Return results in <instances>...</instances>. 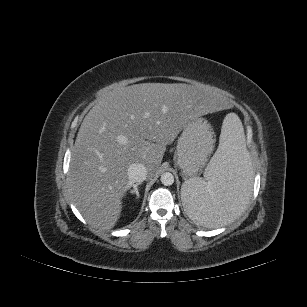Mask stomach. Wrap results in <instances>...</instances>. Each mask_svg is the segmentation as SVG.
Returning <instances> with one entry per match:
<instances>
[{"mask_svg":"<svg viewBox=\"0 0 307 307\" xmlns=\"http://www.w3.org/2000/svg\"><path fill=\"white\" fill-rule=\"evenodd\" d=\"M215 143L211 124L202 117L185 125L178 139L174 155L175 164L184 177L198 175L206 166Z\"/></svg>","mask_w":307,"mask_h":307,"instance_id":"1","label":"stomach"}]
</instances>
